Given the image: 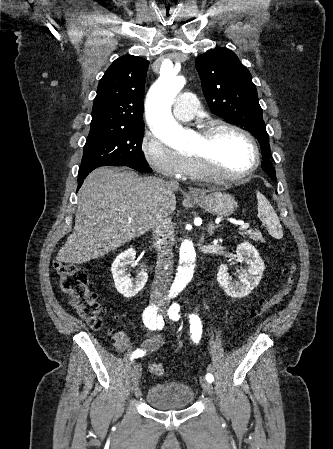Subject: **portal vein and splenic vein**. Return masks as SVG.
Listing matches in <instances>:
<instances>
[{
	"instance_id": "portal-vein-and-splenic-vein-1",
	"label": "portal vein and splenic vein",
	"mask_w": 333,
	"mask_h": 449,
	"mask_svg": "<svg viewBox=\"0 0 333 449\" xmlns=\"http://www.w3.org/2000/svg\"><path fill=\"white\" fill-rule=\"evenodd\" d=\"M249 228V224L248 223H242L240 229H248Z\"/></svg>"
}]
</instances>
